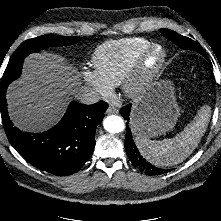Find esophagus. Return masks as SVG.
I'll list each match as a JSON object with an SVG mask.
<instances>
[{"label": "esophagus", "mask_w": 221, "mask_h": 221, "mask_svg": "<svg viewBox=\"0 0 221 221\" xmlns=\"http://www.w3.org/2000/svg\"><path fill=\"white\" fill-rule=\"evenodd\" d=\"M118 112V108L114 106H109V108L107 109V114H117Z\"/></svg>", "instance_id": "1"}]
</instances>
